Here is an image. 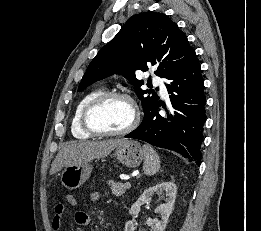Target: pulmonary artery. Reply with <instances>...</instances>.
Returning <instances> with one entry per match:
<instances>
[{"label":"pulmonary artery","instance_id":"pulmonary-artery-1","mask_svg":"<svg viewBox=\"0 0 261 231\" xmlns=\"http://www.w3.org/2000/svg\"><path fill=\"white\" fill-rule=\"evenodd\" d=\"M153 83L154 85L158 86L161 90V93L164 95V96H167V89H166V86L164 84V79L161 78L160 76H155L153 78Z\"/></svg>","mask_w":261,"mask_h":231}]
</instances>
